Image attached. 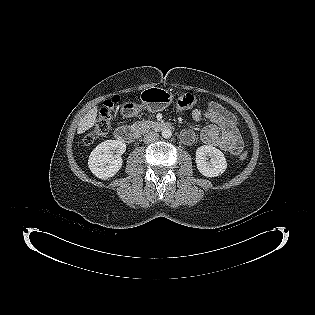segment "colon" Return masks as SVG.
Segmentation results:
<instances>
[{
	"label": "colon",
	"instance_id": "5ec220e1",
	"mask_svg": "<svg viewBox=\"0 0 315 315\" xmlns=\"http://www.w3.org/2000/svg\"><path fill=\"white\" fill-rule=\"evenodd\" d=\"M118 101V97H112L103 103L94 128L85 136V142L87 144L93 143L96 139L106 135L109 132L111 128L114 107ZM196 103L197 97L192 93H186L177 99L176 106L179 109H187L193 107ZM237 155L242 160H247L249 158V153L247 151L241 150Z\"/></svg>",
	"mask_w": 315,
	"mask_h": 315
}]
</instances>
